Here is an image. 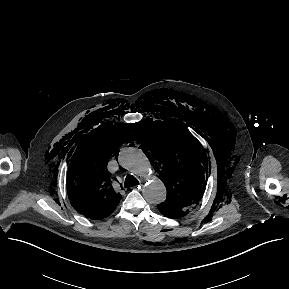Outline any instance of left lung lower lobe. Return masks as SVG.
I'll return each mask as SVG.
<instances>
[{"instance_id":"0a47b994","label":"left lung lower lobe","mask_w":289,"mask_h":289,"mask_svg":"<svg viewBox=\"0 0 289 289\" xmlns=\"http://www.w3.org/2000/svg\"><path fill=\"white\" fill-rule=\"evenodd\" d=\"M158 209L164 216L168 218H180V217L187 215L183 212L173 211V210L163 208V207H158Z\"/></svg>"}]
</instances>
